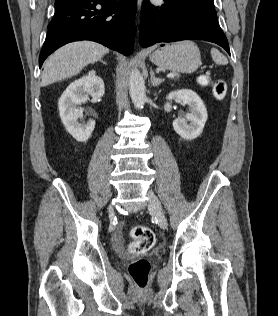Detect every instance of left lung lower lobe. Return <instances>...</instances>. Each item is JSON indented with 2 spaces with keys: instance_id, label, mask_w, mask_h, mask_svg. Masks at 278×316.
<instances>
[{
  "instance_id": "0a47b994",
  "label": "left lung lower lobe",
  "mask_w": 278,
  "mask_h": 316,
  "mask_svg": "<svg viewBox=\"0 0 278 316\" xmlns=\"http://www.w3.org/2000/svg\"><path fill=\"white\" fill-rule=\"evenodd\" d=\"M164 1L165 4L157 8L148 0L143 3L140 18L142 47L195 39L216 43L230 54L227 38L215 17L172 0Z\"/></svg>"
}]
</instances>
